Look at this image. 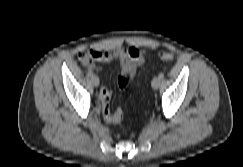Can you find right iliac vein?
<instances>
[{"instance_id": "obj_1", "label": "right iliac vein", "mask_w": 243, "mask_h": 167, "mask_svg": "<svg viewBox=\"0 0 243 167\" xmlns=\"http://www.w3.org/2000/svg\"><path fill=\"white\" fill-rule=\"evenodd\" d=\"M92 83L95 87H97L99 85V78L97 76H92Z\"/></svg>"}]
</instances>
